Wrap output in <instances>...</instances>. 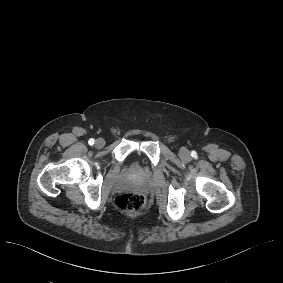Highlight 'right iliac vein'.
<instances>
[{"label": "right iliac vein", "instance_id": "right-iliac-vein-1", "mask_svg": "<svg viewBox=\"0 0 283 283\" xmlns=\"http://www.w3.org/2000/svg\"><path fill=\"white\" fill-rule=\"evenodd\" d=\"M95 146L97 148H103L105 146V140L102 138H98L95 142Z\"/></svg>", "mask_w": 283, "mask_h": 283}]
</instances>
